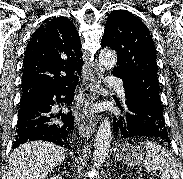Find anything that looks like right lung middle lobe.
Returning a JSON list of instances; mask_svg holds the SVG:
<instances>
[{
	"instance_id": "obj_1",
	"label": "right lung middle lobe",
	"mask_w": 183,
	"mask_h": 179,
	"mask_svg": "<svg viewBox=\"0 0 183 179\" xmlns=\"http://www.w3.org/2000/svg\"><path fill=\"white\" fill-rule=\"evenodd\" d=\"M23 105V103L21 102V100H20V107Z\"/></svg>"
}]
</instances>
